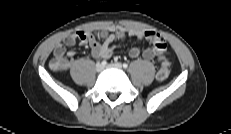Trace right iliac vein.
I'll use <instances>...</instances> for the list:
<instances>
[{
  "label": "right iliac vein",
  "mask_w": 231,
  "mask_h": 134,
  "mask_svg": "<svg viewBox=\"0 0 231 134\" xmlns=\"http://www.w3.org/2000/svg\"><path fill=\"white\" fill-rule=\"evenodd\" d=\"M95 69L97 72H102L104 69V66L100 63H97Z\"/></svg>",
  "instance_id": "obj_1"
}]
</instances>
